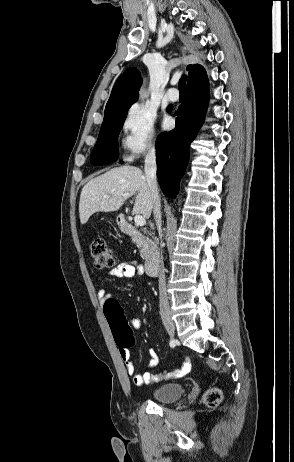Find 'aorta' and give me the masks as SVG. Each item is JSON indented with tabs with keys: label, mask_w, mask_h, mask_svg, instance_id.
<instances>
[{
	"label": "aorta",
	"mask_w": 294,
	"mask_h": 462,
	"mask_svg": "<svg viewBox=\"0 0 294 462\" xmlns=\"http://www.w3.org/2000/svg\"><path fill=\"white\" fill-rule=\"evenodd\" d=\"M140 96H141V98L145 97V94H144L143 89H142V91H141V93H140Z\"/></svg>",
	"instance_id": "aorta-1"
}]
</instances>
